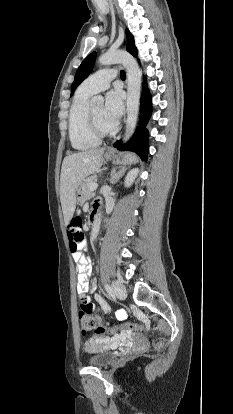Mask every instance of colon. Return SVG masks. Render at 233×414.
I'll return each mask as SVG.
<instances>
[{"instance_id": "1", "label": "colon", "mask_w": 233, "mask_h": 414, "mask_svg": "<svg viewBox=\"0 0 233 414\" xmlns=\"http://www.w3.org/2000/svg\"><path fill=\"white\" fill-rule=\"evenodd\" d=\"M82 220L76 216L68 226V237L72 252H81V246L84 244L85 237L81 231ZM82 334L94 330L99 335L112 334L117 335L126 331H144L143 325L134 322H126L120 327L109 328L102 324L100 318L93 313V304L87 298L80 299V313Z\"/></svg>"}]
</instances>
